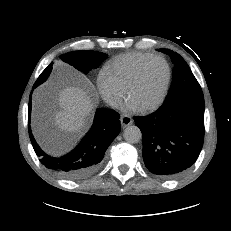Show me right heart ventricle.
<instances>
[{"instance_id":"right-heart-ventricle-1","label":"right heart ventricle","mask_w":231,"mask_h":231,"mask_svg":"<svg viewBox=\"0 0 231 231\" xmlns=\"http://www.w3.org/2000/svg\"><path fill=\"white\" fill-rule=\"evenodd\" d=\"M151 56L142 52L122 54L108 62L103 71L126 90L138 67Z\"/></svg>"}]
</instances>
